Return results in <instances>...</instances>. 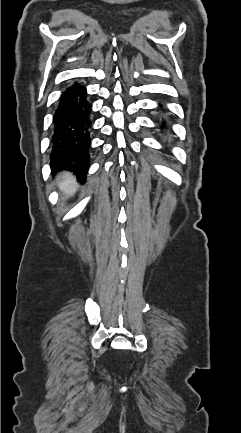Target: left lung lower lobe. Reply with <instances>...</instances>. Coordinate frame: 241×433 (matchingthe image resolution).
Wrapping results in <instances>:
<instances>
[{"instance_id":"0a47b994","label":"left lung lower lobe","mask_w":241,"mask_h":433,"mask_svg":"<svg viewBox=\"0 0 241 433\" xmlns=\"http://www.w3.org/2000/svg\"><path fill=\"white\" fill-rule=\"evenodd\" d=\"M160 106H161V105H160ZM161 107H162V106H161ZM162 111L164 112L163 109H162ZM159 122H160V125H161V130H162V131H165V128H166V122H165V120L160 119Z\"/></svg>"}]
</instances>
